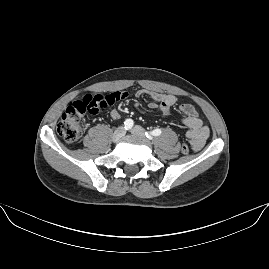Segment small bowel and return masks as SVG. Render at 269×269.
I'll return each mask as SVG.
<instances>
[{"label": "small bowel", "mask_w": 269, "mask_h": 269, "mask_svg": "<svg viewBox=\"0 0 269 269\" xmlns=\"http://www.w3.org/2000/svg\"><path fill=\"white\" fill-rule=\"evenodd\" d=\"M136 97L147 95L151 98L149 107L158 109L163 116L170 114L171 107L176 104V97L171 94H160L154 91L141 89L136 92ZM134 107L140 113L145 114L146 111L142 108L140 102H135ZM181 113L184 115L180 120L181 123L187 127L186 137L190 140V145L193 151H199L205 145L210 131L207 126L203 124L202 119L198 115L196 109L189 103H184L179 106ZM112 120H118L120 118V112L118 110H112L109 114Z\"/></svg>", "instance_id": "small-bowel-1"}]
</instances>
